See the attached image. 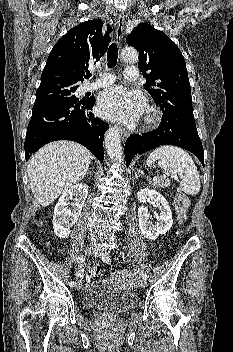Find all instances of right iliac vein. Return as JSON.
I'll use <instances>...</instances> for the list:
<instances>
[{
	"label": "right iliac vein",
	"instance_id": "obj_1",
	"mask_svg": "<svg viewBox=\"0 0 233 352\" xmlns=\"http://www.w3.org/2000/svg\"><path fill=\"white\" fill-rule=\"evenodd\" d=\"M95 249H96L95 246L90 244L85 247L84 252H85V254H90L92 252L94 253ZM74 287H75V289H79L81 287V284L76 283Z\"/></svg>",
	"mask_w": 233,
	"mask_h": 352
}]
</instances>
